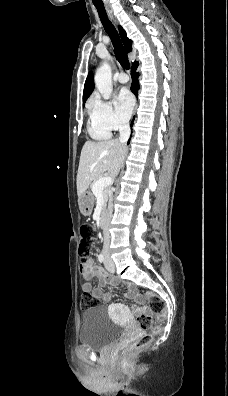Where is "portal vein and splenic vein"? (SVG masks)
Listing matches in <instances>:
<instances>
[{"label": "portal vein and splenic vein", "mask_w": 228, "mask_h": 396, "mask_svg": "<svg viewBox=\"0 0 228 396\" xmlns=\"http://www.w3.org/2000/svg\"><path fill=\"white\" fill-rule=\"evenodd\" d=\"M113 180L111 177H102L100 178L93 187V192L98 193L102 191L105 187L110 186Z\"/></svg>", "instance_id": "1"}]
</instances>
